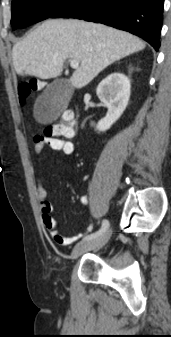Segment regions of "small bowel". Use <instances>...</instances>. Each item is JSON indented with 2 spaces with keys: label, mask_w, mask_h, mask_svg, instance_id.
<instances>
[{
  "label": "small bowel",
  "mask_w": 171,
  "mask_h": 337,
  "mask_svg": "<svg viewBox=\"0 0 171 337\" xmlns=\"http://www.w3.org/2000/svg\"><path fill=\"white\" fill-rule=\"evenodd\" d=\"M46 147H49L50 149L55 151H60L65 155H73L75 153V145L71 140L57 137H49L45 135L37 136L34 140L33 148L36 155V162L39 164L43 161L42 154ZM36 196L38 200L39 210L41 212L42 223L57 244L62 246H68L84 235L83 233H78L74 236L68 237L60 232L58 222L51 215L53 212V205L48 200V192L43 186L42 178L40 175H38L37 177ZM80 202L83 205H88V196H81ZM92 229L93 225L90 224L88 227V232L92 231Z\"/></svg>",
  "instance_id": "small-bowel-1"
}]
</instances>
